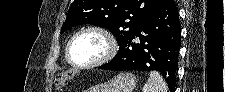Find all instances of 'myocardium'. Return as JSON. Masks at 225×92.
Here are the masks:
<instances>
[{"label": "myocardium", "instance_id": "myocardium-1", "mask_svg": "<svg viewBox=\"0 0 225 92\" xmlns=\"http://www.w3.org/2000/svg\"><path fill=\"white\" fill-rule=\"evenodd\" d=\"M88 32H93V33L101 35L106 41L107 51L103 57H101L100 59L94 62L87 63V64H78L74 62L70 57L71 45L77 37ZM116 53H117V43L113 34L108 29L101 26H88V27L80 29L69 39L65 48V57L67 62L69 63V65H71L72 67L76 69H87V68L98 67L100 65H103L109 62L111 59H113Z\"/></svg>", "mask_w": 225, "mask_h": 92}]
</instances>
